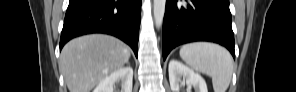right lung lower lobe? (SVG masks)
<instances>
[{
  "instance_id": "98d812e1",
  "label": "right lung lower lobe",
  "mask_w": 296,
  "mask_h": 92,
  "mask_svg": "<svg viewBox=\"0 0 296 92\" xmlns=\"http://www.w3.org/2000/svg\"><path fill=\"white\" fill-rule=\"evenodd\" d=\"M141 0H70L60 39V50L70 39L106 33L131 46L137 56Z\"/></svg>"
}]
</instances>
